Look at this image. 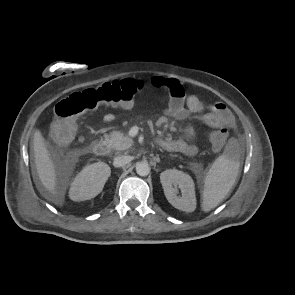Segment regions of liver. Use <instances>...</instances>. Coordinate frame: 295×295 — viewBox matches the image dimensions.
I'll use <instances>...</instances> for the list:
<instances>
[{
  "label": "liver",
  "instance_id": "6515ba94",
  "mask_svg": "<svg viewBox=\"0 0 295 295\" xmlns=\"http://www.w3.org/2000/svg\"><path fill=\"white\" fill-rule=\"evenodd\" d=\"M33 150L38 177L44 188L51 193L52 196L57 198L59 192L57 190L58 179L55 164L50 158L45 139L39 130H36L34 133Z\"/></svg>",
  "mask_w": 295,
  "mask_h": 295
}]
</instances>
